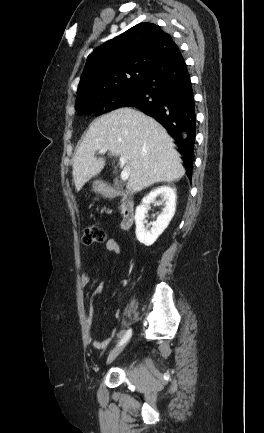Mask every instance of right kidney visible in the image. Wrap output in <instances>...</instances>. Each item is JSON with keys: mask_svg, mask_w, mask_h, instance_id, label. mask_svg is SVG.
Segmentation results:
<instances>
[{"mask_svg": "<svg viewBox=\"0 0 264 433\" xmlns=\"http://www.w3.org/2000/svg\"><path fill=\"white\" fill-rule=\"evenodd\" d=\"M162 197L165 207L162 213L158 216L155 222H151V228L148 230L145 227L146 214L149 204L154 202L156 197ZM176 210V192L170 186H161L151 191L147 196L142 199V203L136 208L135 224H136V237L138 241L146 246H151L158 237L168 227Z\"/></svg>", "mask_w": 264, "mask_h": 433, "instance_id": "right-kidney-1", "label": "right kidney"}]
</instances>
